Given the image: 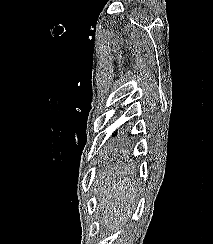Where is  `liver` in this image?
<instances>
[{
  "mask_svg": "<svg viewBox=\"0 0 213 244\" xmlns=\"http://www.w3.org/2000/svg\"><path fill=\"white\" fill-rule=\"evenodd\" d=\"M102 186L99 190L97 209L102 212V225L115 232L125 225L135 208L137 184L130 176L119 177L117 167L100 175Z\"/></svg>",
  "mask_w": 213,
  "mask_h": 244,
  "instance_id": "1",
  "label": "liver"
}]
</instances>
